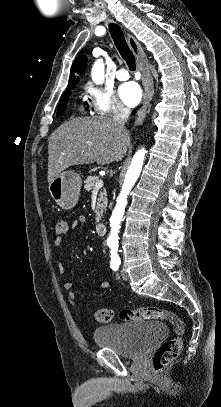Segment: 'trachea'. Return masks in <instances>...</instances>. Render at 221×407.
Returning <instances> with one entry per match:
<instances>
[{"label": "trachea", "mask_w": 221, "mask_h": 407, "mask_svg": "<svg viewBox=\"0 0 221 407\" xmlns=\"http://www.w3.org/2000/svg\"><path fill=\"white\" fill-rule=\"evenodd\" d=\"M109 30H110L112 39L115 43V46L117 47L122 58L126 61L129 69L131 71H135L136 70L135 56L126 42L123 31L115 23L109 24Z\"/></svg>", "instance_id": "3493384b"}]
</instances>
